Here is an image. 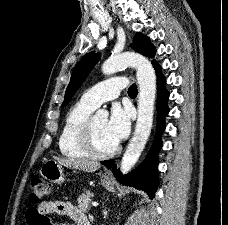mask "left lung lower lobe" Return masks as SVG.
I'll use <instances>...</instances> for the list:
<instances>
[{"label":"left lung lower lobe","instance_id":"1","mask_svg":"<svg viewBox=\"0 0 228 225\" xmlns=\"http://www.w3.org/2000/svg\"><path fill=\"white\" fill-rule=\"evenodd\" d=\"M158 77V101H157V130L154 143L145 161L126 176L120 174L114 160L101 161L107 168H111L116 179L123 185L132 186L145 191L150 198H153L158 187L157 153L162 146L160 134L165 128L164 117L168 114V92L163 88L165 78L161 74L157 63L153 64Z\"/></svg>","mask_w":228,"mask_h":225}]
</instances>
